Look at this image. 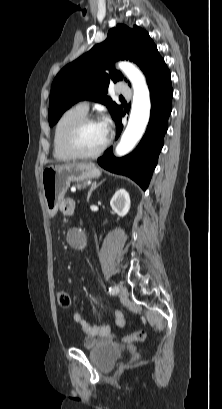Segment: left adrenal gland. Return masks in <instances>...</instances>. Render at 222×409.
<instances>
[{"label":"left adrenal gland","mask_w":222,"mask_h":409,"mask_svg":"<svg viewBox=\"0 0 222 409\" xmlns=\"http://www.w3.org/2000/svg\"><path fill=\"white\" fill-rule=\"evenodd\" d=\"M102 182H103V181H101V182H99V183H97V182L92 183V185H91V187H90V190H89V192H88L87 201L90 200V196H91L93 190H95L97 187H99V186L102 184Z\"/></svg>","instance_id":"obj_1"}]
</instances>
